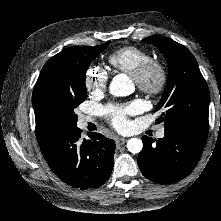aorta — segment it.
I'll use <instances>...</instances> for the list:
<instances>
[{
	"instance_id": "762f6f07",
	"label": "aorta",
	"mask_w": 221,
	"mask_h": 221,
	"mask_svg": "<svg viewBox=\"0 0 221 221\" xmlns=\"http://www.w3.org/2000/svg\"><path fill=\"white\" fill-rule=\"evenodd\" d=\"M109 91L114 96H127L134 91L132 81L125 75H116L110 83ZM143 148L142 140L139 138H131L127 142V149L131 153H139Z\"/></svg>"
}]
</instances>
